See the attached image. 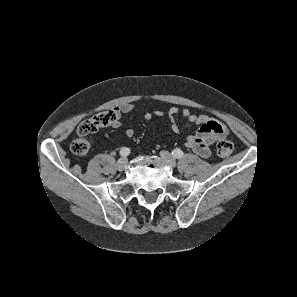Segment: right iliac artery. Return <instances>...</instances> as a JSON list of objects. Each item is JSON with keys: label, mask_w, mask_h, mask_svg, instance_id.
<instances>
[{"label": "right iliac artery", "mask_w": 297, "mask_h": 297, "mask_svg": "<svg viewBox=\"0 0 297 297\" xmlns=\"http://www.w3.org/2000/svg\"><path fill=\"white\" fill-rule=\"evenodd\" d=\"M119 153L122 157H126L130 154V149L127 147H123Z\"/></svg>", "instance_id": "right-iliac-artery-1"}]
</instances>
